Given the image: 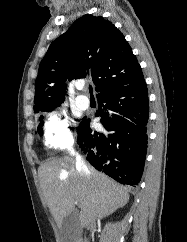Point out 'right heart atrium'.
Masks as SVG:
<instances>
[{"mask_svg":"<svg viewBox=\"0 0 187 242\" xmlns=\"http://www.w3.org/2000/svg\"><path fill=\"white\" fill-rule=\"evenodd\" d=\"M44 142L50 149H64L73 142L68 118L59 113H53L44 126Z\"/></svg>","mask_w":187,"mask_h":242,"instance_id":"right-heart-atrium-1","label":"right heart atrium"}]
</instances>
